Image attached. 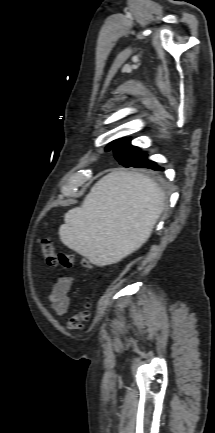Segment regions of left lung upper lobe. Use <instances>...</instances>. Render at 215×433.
I'll list each match as a JSON object with an SVG mask.
<instances>
[{
  "label": "left lung upper lobe",
  "instance_id": "5c2ea615",
  "mask_svg": "<svg viewBox=\"0 0 215 433\" xmlns=\"http://www.w3.org/2000/svg\"><path fill=\"white\" fill-rule=\"evenodd\" d=\"M113 150L117 161L127 167L132 163H139L146 166V168L157 170L159 167L155 162L147 159V155L140 151V148L131 145V140L127 137H122L110 142L106 151Z\"/></svg>",
  "mask_w": 215,
  "mask_h": 433
}]
</instances>
